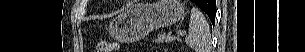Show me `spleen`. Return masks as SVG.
<instances>
[{
	"label": "spleen",
	"instance_id": "obj_1",
	"mask_svg": "<svg viewBox=\"0 0 305 52\" xmlns=\"http://www.w3.org/2000/svg\"><path fill=\"white\" fill-rule=\"evenodd\" d=\"M189 34L186 44L195 52H211V33L204 15L196 8L191 9Z\"/></svg>",
	"mask_w": 305,
	"mask_h": 52
}]
</instances>
